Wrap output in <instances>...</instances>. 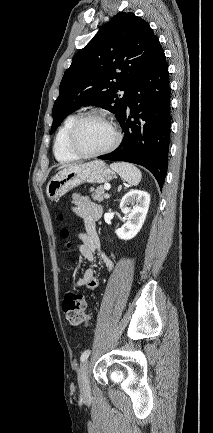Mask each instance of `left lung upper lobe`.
Listing matches in <instances>:
<instances>
[{
    "instance_id": "1",
    "label": "left lung upper lobe",
    "mask_w": 213,
    "mask_h": 433,
    "mask_svg": "<svg viewBox=\"0 0 213 433\" xmlns=\"http://www.w3.org/2000/svg\"><path fill=\"white\" fill-rule=\"evenodd\" d=\"M149 24L133 13H118L72 59L53 106L51 133L77 108L98 104L123 115L130 91L160 47ZM114 80V81H111ZM125 91L123 96L118 91Z\"/></svg>"
}]
</instances>
